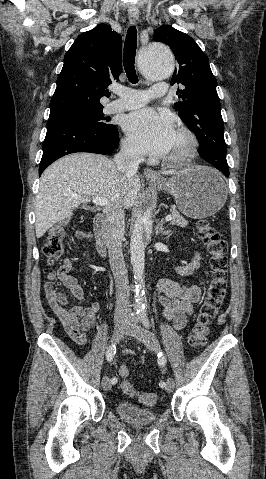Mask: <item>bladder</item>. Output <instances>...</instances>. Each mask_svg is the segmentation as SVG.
Returning a JSON list of instances; mask_svg holds the SVG:
<instances>
[{"instance_id":"31cf9c89","label":"bladder","mask_w":266,"mask_h":479,"mask_svg":"<svg viewBox=\"0 0 266 479\" xmlns=\"http://www.w3.org/2000/svg\"><path fill=\"white\" fill-rule=\"evenodd\" d=\"M116 412L123 421L130 424L153 423L158 416L154 409L139 407L128 401L118 402Z\"/></svg>"}]
</instances>
